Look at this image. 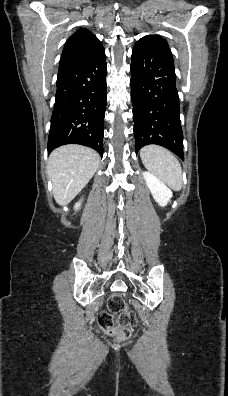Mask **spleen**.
<instances>
[{"label": "spleen", "mask_w": 228, "mask_h": 396, "mask_svg": "<svg viewBox=\"0 0 228 396\" xmlns=\"http://www.w3.org/2000/svg\"><path fill=\"white\" fill-rule=\"evenodd\" d=\"M140 157L152 174L173 190H181L183 184L181 165L169 150L158 145H147L141 149Z\"/></svg>", "instance_id": "obj_1"}]
</instances>
